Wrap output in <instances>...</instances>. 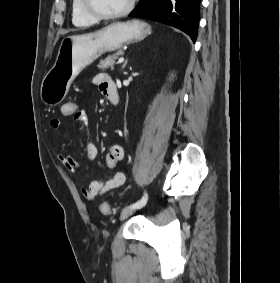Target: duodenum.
<instances>
[{
  "label": "duodenum",
  "instance_id": "duodenum-1",
  "mask_svg": "<svg viewBox=\"0 0 280 283\" xmlns=\"http://www.w3.org/2000/svg\"><path fill=\"white\" fill-rule=\"evenodd\" d=\"M107 98L110 100L111 103L115 105L118 103L119 94L116 85L113 81L109 82L108 90H107Z\"/></svg>",
  "mask_w": 280,
  "mask_h": 283
}]
</instances>
